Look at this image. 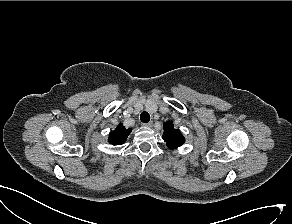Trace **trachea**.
<instances>
[{
    "instance_id": "3493384b",
    "label": "trachea",
    "mask_w": 292,
    "mask_h": 224,
    "mask_svg": "<svg viewBox=\"0 0 292 224\" xmlns=\"http://www.w3.org/2000/svg\"><path fill=\"white\" fill-rule=\"evenodd\" d=\"M140 120H141L142 122H144V123L149 122V120H150V115H149V113L146 112V111L142 112L141 115H140Z\"/></svg>"
}]
</instances>
